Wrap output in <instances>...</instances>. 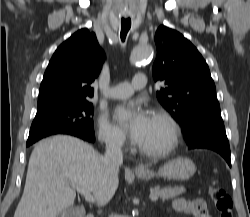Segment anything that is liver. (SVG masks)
<instances>
[{"label":"liver","mask_w":250,"mask_h":217,"mask_svg":"<svg viewBox=\"0 0 250 217\" xmlns=\"http://www.w3.org/2000/svg\"><path fill=\"white\" fill-rule=\"evenodd\" d=\"M118 186V173L91 145L71 136L47 138L31 153L14 217H58L74 204L75 187L88 190L98 205H105Z\"/></svg>","instance_id":"6515ba94"}]
</instances>
